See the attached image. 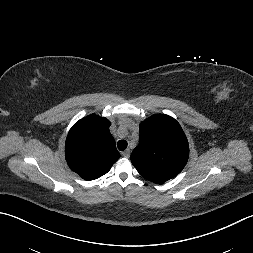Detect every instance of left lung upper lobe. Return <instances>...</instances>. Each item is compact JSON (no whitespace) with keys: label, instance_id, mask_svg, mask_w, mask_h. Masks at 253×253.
Returning <instances> with one entry per match:
<instances>
[{"label":"left lung upper lobe","instance_id":"left-lung-upper-lobe-1","mask_svg":"<svg viewBox=\"0 0 253 253\" xmlns=\"http://www.w3.org/2000/svg\"><path fill=\"white\" fill-rule=\"evenodd\" d=\"M187 138L172 117L154 115L140 124V143L131 154V161L147 180L164 183L178 175L187 163Z\"/></svg>","mask_w":253,"mask_h":253}]
</instances>
